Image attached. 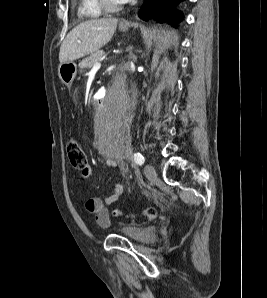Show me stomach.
Returning <instances> with one entry per match:
<instances>
[{"label":"stomach","mask_w":267,"mask_h":298,"mask_svg":"<svg viewBox=\"0 0 267 298\" xmlns=\"http://www.w3.org/2000/svg\"><path fill=\"white\" fill-rule=\"evenodd\" d=\"M120 31L126 32L128 27L120 26ZM77 73V65L71 61L67 63H62L58 67V75L62 83L65 85H71L74 81Z\"/></svg>","instance_id":"obj_1"}]
</instances>
